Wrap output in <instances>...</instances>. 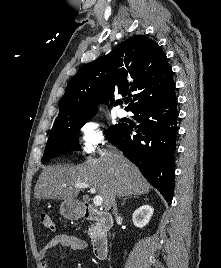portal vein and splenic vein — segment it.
Returning <instances> with one entry per match:
<instances>
[{"label": "portal vein and splenic vein", "instance_id": "portal-vein-and-splenic-vein-1", "mask_svg": "<svg viewBox=\"0 0 221 268\" xmlns=\"http://www.w3.org/2000/svg\"><path fill=\"white\" fill-rule=\"evenodd\" d=\"M75 188H79V189H82V188H90V192L92 194H95L96 193V189L94 187H90L89 184H86V183H76L74 185ZM93 203L95 206H101L102 203H103V198L100 196V195H96L93 199Z\"/></svg>", "mask_w": 221, "mask_h": 268}]
</instances>
